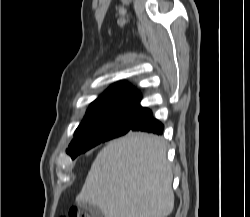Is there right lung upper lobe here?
<instances>
[{"label":"right lung upper lobe","instance_id":"right-lung-upper-lobe-1","mask_svg":"<svg viewBox=\"0 0 250 217\" xmlns=\"http://www.w3.org/2000/svg\"><path fill=\"white\" fill-rule=\"evenodd\" d=\"M141 95L129 83L123 81L111 85L89 107L87 115L120 109L125 107L140 106Z\"/></svg>","mask_w":250,"mask_h":217}]
</instances>
